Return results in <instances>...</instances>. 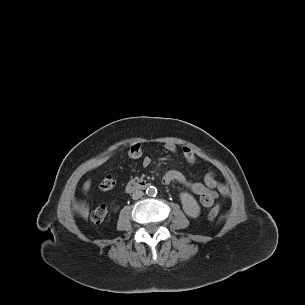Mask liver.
<instances>
[{"mask_svg":"<svg viewBox=\"0 0 305 305\" xmlns=\"http://www.w3.org/2000/svg\"><path fill=\"white\" fill-rule=\"evenodd\" d=\"M90 180H87L85 183H84V185H83V189L85 190V191H88L89 190V188H90Z\"/></svg>","mask_w":305,"mask_h":305,"instance_id":"obj_1","label":"liver"}]
</instances>
